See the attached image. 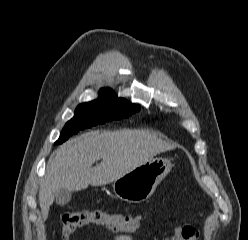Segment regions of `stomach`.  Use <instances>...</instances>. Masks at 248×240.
<instances>
[{"mask_svg":"<svg viewBox=\"0 0 248 240\" xmlns=\"http://www.w3.org/2000/svg\"><path fill=\"white\" fill-rule=\"evenodd\" d=\"M171 168L169 159H151L116 179L113 183V192L116 197L129 203L145 201L154 193L157 185Z\"/></svg>","mask_w":248,"mask_h":240,"instance_id":"0dacf381","label":"stomach"}]
</instances>
